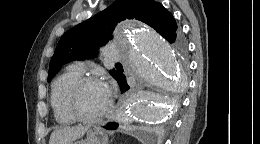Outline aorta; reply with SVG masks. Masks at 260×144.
Instances as JSON below:
<instances>
[{"instance_id":"762f6f07","label":"aorta","mask_w":260,"mask_h":144,"mask_svg":"<svg viewBox=\"0 0 260 144\" xmlns=\"http://www.w3.org/2000/svg\"><path fill=\"white\" fill-rule=\"evenodd\" d=\"M122 53L128 68L146 83L165 90L182 84V67L173 47L153 29L138 25L122 37ZM173 101L163 95L137 92L125 104V125L136 122L158 123L166 120Z\"/></svg>"}]
</instances>
